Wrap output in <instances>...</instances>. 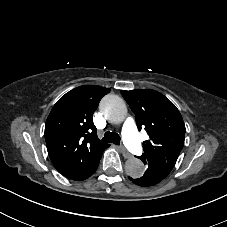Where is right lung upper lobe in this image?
Listing matches in <instances>:
<instances>
[{
    "instance_id": "1",
    "label": "right lung upper lobe",
    "mask_w": 227,
    "mask_h": 227,
    "mask_svg": "<svg viewBox=\"0 0 227 227\" xmlns=\"http://www.w3.org/2000/svg\"><path fill=\"white\" fill-rule=\"evenodd\" d=\"M110 88L84 85L62 96L52 108L45 124L48 154L59 168L77 157H94L110 145L98 139L93 113ZM88 161L84 160L82 166Z\"/></svg>"
}]
</instances>
